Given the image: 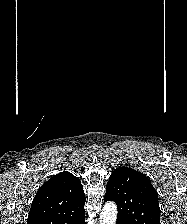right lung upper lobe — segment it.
I'll return each instance as SVG.
<instances>
[{
  "label": "right lung upper lobe",
  "instance_id": "right-lung-upper-lobe-1",
  "mask_svg": "<svg viewBox=\"0 0 187 224\" xmlns=\"http://www.w3.org/2000/svg\"><path fill=\"white\" fill-rule=\"evenodd\" d=\"M85 194L70 172L51 177L37 191L27 224H71L84 217Z\"/></svg>",
  "mask_w": 187,
  "mask_h": 224
}]
</instances>
